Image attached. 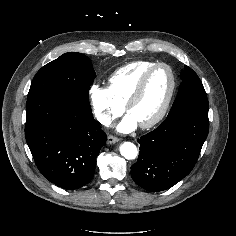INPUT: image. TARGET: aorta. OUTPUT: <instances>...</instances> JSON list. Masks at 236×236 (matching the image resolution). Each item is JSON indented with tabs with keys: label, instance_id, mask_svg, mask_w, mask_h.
I'll list each match as a JSON object with an SVG mask.
<instances>
[{
	"label": "aorta",
	"instance_id": "1",
	"mask_svg": "<svg viewBox=\"0 0 236 236\" xmlns=\"http://www.w3.org/2000/svg\"><path fill=\"white\" fill-rule=\"evenodd\" d=\"M120 153L127 160H133L138 155L137 147L131 142H124L120 146Z\"/></svg>",
	"mask_w": 236,
	"mask_h": 236
}]
</instances>
